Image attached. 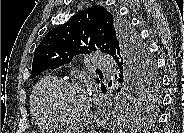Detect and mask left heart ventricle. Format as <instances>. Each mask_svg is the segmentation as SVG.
Segmentation results:
<instances>
[{
  "label": "left heart ventricle",
  "mask_w": 184,
  "mask_h": 133,
  "mask_svg": "<svg viewBox=\"0 0 184 133\" xmlns=\"http://www.w3.org/2000/svg\"><path fill=\"white\" fill-rule=\"evenodd\" d=\"M54 106L61 117L76 119L85 113L87 97L81 90L65 88L56 95Z\"/></svg>",
  "instance_id": "obj_1"
}]
</instances>
